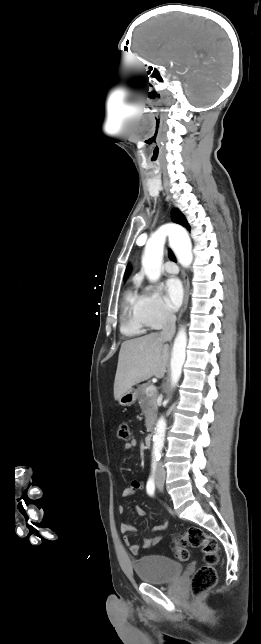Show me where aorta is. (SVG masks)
Returning a JSON list of instances; mask_svg holds the SVG:
<instances>
[{
	"mask_svg": "<svg viewBox=\"0 0 261 644\" xmlns=\"http://www.w3.org/2000/svg\"><path fill=\"white\" fill-rule=\"evenodd\" d=\"M172 243L177 244L180 239L172 229H159L147 241L144 254L142 256V267L150 281H157L162 272L163 253L166 236ZM176 254L181 264L188 266L193 259L191 246L185 244L184 247L175 245ZM187 335L184 329L177 334L171 354V385L175 387L180 379L182 367L186 358ZM166 432V420L160 417L155 427L153 436L152 455H160L164 446Z\"/></svg>",
	"mask_w": 261,
	"mask_h": 644,
	"instance_id": "762f6f07",
	"label": "aorta"
}]
</instances>
